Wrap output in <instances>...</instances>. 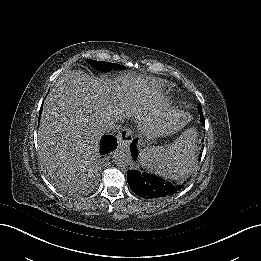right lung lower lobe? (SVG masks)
<instances>
[{"mask_svg":"<svg viewBox=\"0 0 261 261\" xmlns=\"http://www.w3.org/2000/svg\"><path fill=\"white\" fill-rule=\"evenodd\" d=\"M116 145L117 141L113 136H104L100 144V153L102 154V157H106L111 150L116 148Z\"/></svg>","mask_w":261,"mask_h":261,"instance_id":"98d812e1","label":"right lung lower lobe"}]
</instances>
